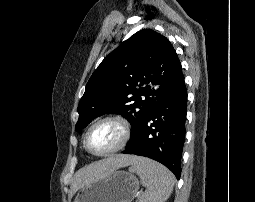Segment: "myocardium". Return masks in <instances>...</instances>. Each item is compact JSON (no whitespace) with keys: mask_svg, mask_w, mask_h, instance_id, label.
<instances>
[{"mask_svg":"<svg viewBox=\"0 0 255 202\" xmlns=\"http://www.w3.org/2000/svg\"><path fill=\"white\" fill-rule=\"evenodd\" d=\"M104 123H114V124L118 125V127L120 128V131H121L120 141L114 148H112L106 152H101V153L94 152L90 149V147L88 145V139H89L90 133L92 132V130L94 128H96L97 126L104 124ZM131 134H132L131 124L125 117H123L121 115H108V116L98 119L88 128V130L84 136V147L92 155L99 156V157L109 156V155H112V154L122 150L129 142V140L131 138Z\"/></svg>","mask_w":255,"mask_h":202,"instance_id":"myocardium-1","label":"myocardium"}]
</instances>
